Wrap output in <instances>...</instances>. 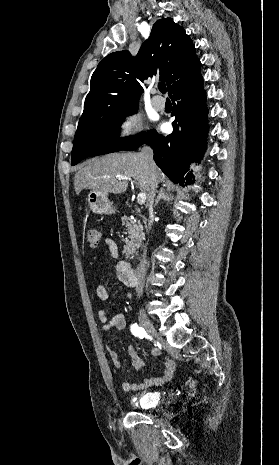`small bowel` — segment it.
Returning <instances> with one entry per match:
<instances>
[{"label":"small bowel","mask_w":279,"mask_h":465,"mask_svg":"<svg viewBox=\"0 0 279 465\" xmlns=\"http://www.w3.org/2000/svg\"><path fill=\"white\" fill-rule=\"evenodd\" d=\"M105 244H106L111 256L114 259H119V250H118V246H117L116 242L111 238H107L105 240ZM120 268H121V266H120ZM120 268H119V271H118L119 278H120ZM96 294H97V297L101 301H106L109 298L108 289L104 285H99L97 287ZM98 314H99L100 320L103 323L102 330L104 332H108V331L113 330V329L123 330L126 327L125 315L123 313H121V312L116 313L111 318L108 317V314H107V312L105 310H100ZM128 353H129V355L131 357L132 364H133L135 369H141V368H143L145 366L144 360L139 356V354L137 353V351L135 350V348L131 344L128 345ZM108 354H109V357H110V360H111L113 366L116 369H120L122 367V362H121V360L119 358L118 353L113 349H109ZM151 355L153 357L159 356L160 355L159 349L153 348L151 350ZM174 372H175V364H174V362L170 358L166 357L165 362H164V370H163V372H162V374L160 376L146 378L141 383H132V382H129V381H124V382H122L121 387H122L123 391L131 392V391L143 390V389L149 388L151 386L162 385V384L168 382L172 378Z\"/></svg>","instance_id":"1"}]
</instances>
